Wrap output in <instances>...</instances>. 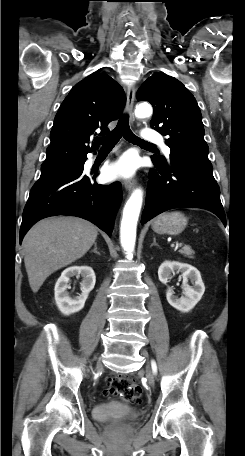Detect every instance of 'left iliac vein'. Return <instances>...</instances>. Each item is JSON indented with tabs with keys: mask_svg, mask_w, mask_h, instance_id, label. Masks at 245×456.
<instances>
[{
	"mask_svg": "<svg viewBox=\"0 0 245 456\" xmlns=\"http://www.w3.org/2000/svg\"><path fill=\"white\" fill-rule=\"evenodd\" d=\"M142 355H143L144 357H148V353H147L146 351H143V352H142ZM147 378H148L149 384H150L151 386H153V385H154V377H153V374L151 373V371H150L149 369L147 370Z\"/></svg>",
	"mask_w": 245,
	"mask_h": 456,
	"instance_id": "1",
	"label": "left iliac vein"
}]
</instances>
